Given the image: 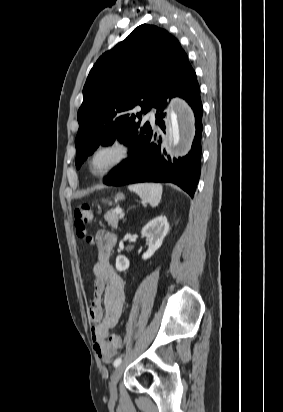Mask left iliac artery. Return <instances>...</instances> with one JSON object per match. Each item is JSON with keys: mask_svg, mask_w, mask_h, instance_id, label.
<instances>
[{"mask_svg": "<svg viewBox=\"0 0 283 412\" xmlns=\"http://www.w3.org/2000/svg\"><path fill=\"white\" fill-rule=\"evenodd\" d=\"M121 362H122V359L121 358H117L115 361H114V367H118L120 364H121Z\"/></svg>", "mask_w": 283, "mask_h": 412, "instance_id": "44dca946", "label": "left iliac artery"}]
</instances>
